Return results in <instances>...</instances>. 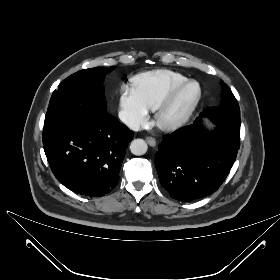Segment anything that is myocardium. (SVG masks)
I'll return each mask as SVG.
<instances>
[{"label":"myocardium","instance_id":"myocardium-1","mask_svg":"<svg viewBox=\"0 0 280 280\" xmlns=\"http://www.w3.org/2000/svg\"><path fill=\"white\" fill-rule=\"evenodd\" d=\"M195 85L197 87V93L191 103L185 108V110L174 118L165 120L164 115L167 110L173 105L177 97L187 87ZM202 97V87L196 80L190 79L185 82L174 86L166 96L159 102L154 109V121L157 127L163 131H174L182 127L194 114Z\"/></svg>","mask_w":280,"mask_h":280}]
</instances>
